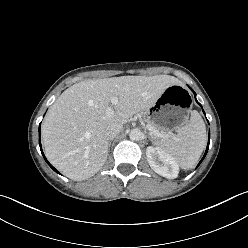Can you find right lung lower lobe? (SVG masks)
I'll use <instances>...</instances> for the list:
<instances>
[{"mask_svg":"<svg viewBox=\"0 0 248 248\" xmlns=\"http://www.w3.org/2000/svg\"><path fill=\"white\" fill-rule=\"evenodd\" d=\"M39 134H40V127H39ZM39 145H40V149H41V152H42V155H43L45 161L48 163V165H49L55 172L59 173V172H58V171H57V170H56V169L47 161V159L45 158V156H44V154H43V151H42L40 139H39Z\"/></svg>","mask_w":248,"mask_h":248,"instance_id":"obj_1","label":"right lung lower lobe"}]
</instances>
